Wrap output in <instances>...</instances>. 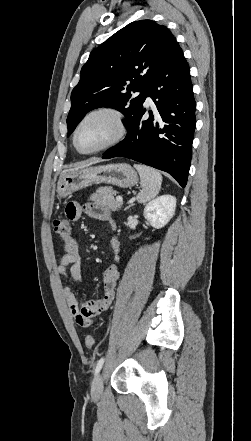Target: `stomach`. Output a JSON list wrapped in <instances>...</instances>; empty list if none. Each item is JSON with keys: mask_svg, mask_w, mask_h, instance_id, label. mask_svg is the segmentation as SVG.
Here are the masks:
<instances>
[{"mask_svg": "<svg viewBox=\"0 0 251 441\" xmlns=\"http://www.w3.org/2000/svg\"><path fill=\"white\" fill-rule=\"evenodd\" d=\"M111 184L121 188H129L138 183L136 171L126 163L85 167L61 174L57 193L59 198L91 186L92 184Z\"/></svg>", "mask_w": 251, "mask_h": 441, "instance_id": "0dacf381", "label": "stomach"}]
</instances>
